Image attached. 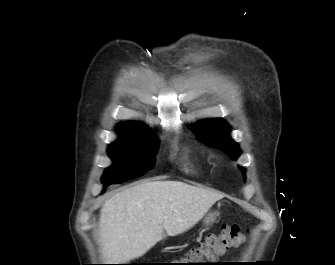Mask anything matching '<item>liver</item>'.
Instances as JSON below:
<instances>
[{
  "label": "liver",
  "instance_id": "1",
  "mask_svg": "<svg viewBox=\"0 0 335 265\" xmlns=\"http://www.w3.org/2000/svg\"><path fill=\"white\" fill-rule=\"evenodd\" d=\"M223 195L180 181H144L112 195L99 228L107 262L143 256L164 237L192 228Z\"/></svg>",
  "mask_w": 335,
  "mask_h": 265
}]
</instances>
